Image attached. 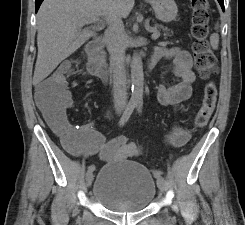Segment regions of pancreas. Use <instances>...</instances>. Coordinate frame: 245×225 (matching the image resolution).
Masks as SVG:
<instances>
[{"instance_id": "cf45deb5", "label": "pancreas", "mask_w": 245, "mask_h": 225, "mask_svg": "<svg viewBox=\"0 0 245 225\" xmlns=\"http://www.w3.org/2000/svg\"><path fill=\"white\" fill-rule=\"evenodd\" d=\"M155 29L157 30V29H162L165 33H164V36L166 37V36H168L169 35V29L167 28V27H163V26H161V25H158V26H155Z\"/></svg>"}]
</instances>
